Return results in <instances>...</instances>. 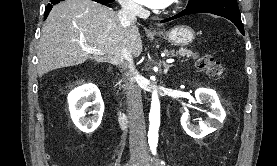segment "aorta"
I'll return each mask as SVG.
<instances>
[{
  "label": "aorta",
  "mask_w": 277,
  "mask_h": 166,
  "mask_svg": "<svg viewBox=\"0 0 277 166\" xmlns=\"http://www.w3.org/2000/svg\"><path fill=\"white\" fill-rule=\"evenodd\" d=\"M149 131L148 142L150 148L155 150L158 143V130L160 126V102L157 92L154 90L152 94L151 110L149 113Z\"/></svg>",
  "instance_id": "obj_1"
}]
</instances>
